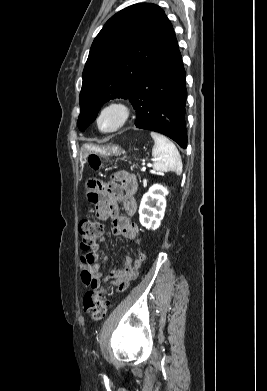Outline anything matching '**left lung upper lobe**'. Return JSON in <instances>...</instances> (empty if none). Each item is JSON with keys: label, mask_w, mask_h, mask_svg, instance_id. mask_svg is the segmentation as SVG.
<instances>
[{"label": "left lung upper lobe", "mask_w": 267, "mask_h": 391, "mask_svg": "<svg viewBox=\"0 0 267 391\" xmlns=\"http://www.w3.org/2000/svg\"><path fill=\"white\" fill-rule=\"evenodd\" d=\"M175 37L172 24L155 4L138 3L113 15L96 36L84 67L79 129L84 131L110 99L129 98Z\"/></svg>", "instance_id": "obj_1"}]
</instances>
